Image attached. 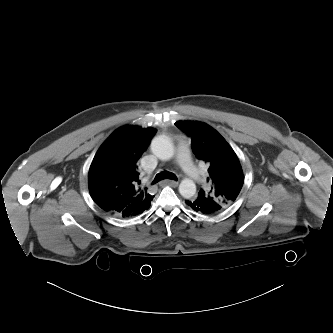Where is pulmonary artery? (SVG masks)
<instances>
[{
    "label": "pulmonary artery",
    "mask_w": 333,
    "mask_h": 333,
    "mask_svg": "<svg viewBox=\"0 0 333 333\" xmlns=\"http://www.w3.org/2000/svg\"><path fill=\"white\" fill-rule=\"evenodd\" d=\"M177 160L182 169L194 181L200 182L201 176L197 168L193 165L188 147L185 143H180L177 148Z\"/></svg>",
    "instance_id": "obj_1"
}]
</instances>
